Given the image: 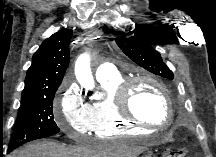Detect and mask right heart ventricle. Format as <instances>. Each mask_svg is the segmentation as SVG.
<instances>
[{
  "instance_id": "obj_1",
  "label": "right heart ventricle",
  "mask_w": 216,
  "mask_h": 157,
  "mask_svg": "<svg viewBox=\"0 0 216 157\" xmlns=\"http://www.w3.org/2000/svg\"><path fill=\"white\" fill-rule=\"evenodd\" d=\"M124 80V76L120 73L98 80L104 95L90 105L93 122L92 131L97 138L124 135L137 136L145 133V129L123 119L118 113L116 90Z\"/></svg>"
}]
</instances>
